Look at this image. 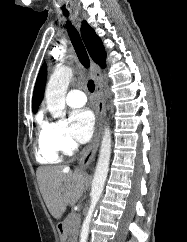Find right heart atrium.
Returning a JSON list of instances; mask_svg holds the SVG:
<instances>
[{
    "label": "right heart atrium",
    "instance_id": "obj_1",
    "mask_svg": "<svg viewBox=\"0 0 187 242\" xmlns=\"http://www.w3.org/2000/svg\"><path fill=\"white\" fill-rule=\"evenodd\" d=\"M46 132L49 142L58 152L69 154L75 149L76 144L71 138L65 123L58 121L48 122Z\"/></svg>",
    "mask_w": 187,
    "mask_h": 242
}]
</instances>
